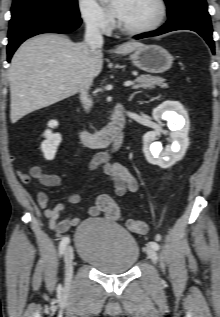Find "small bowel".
Returning a JSON list of instances; mask_svg holds the SVG:
<instances>
[{
	"mask_svg": "<svg viewBox=\"0 0 220 317\" xmlns=\"http://www.w3.org/2000/svg\"><path fill=\"white\" fill-rule=\"evenodd\" d=\"M99 166H103L104 172L109 177L113 184L114 193L117 196L124 195L127 191L135 192L138 190V182L136 178L122 165L111 162L107 153L96 155L88 165L90 171L96 170ZM19 179L22 183L27 184L31 180H35L43 186L53 187L61 182V176L58 174L44 173L39 167L34 166L30 169L29 173H20ZM36 198L39 206L44 209V214L48 219L50 227L60 233L68 231L80 223V218L75 215H70L62 218L64 206L58 204L55 207L48 206V197L45 192L37 191ZM78 193H72L67 197V202L76 204L80 201ZM110 198L107 194H100L96 198V202L88 210L89 215L99 216L104 213L103 201Z\"/></svg>",
	"mask_w": 220,
	"mask_h": 317,
	"instance_id": "c3829d8e",
	"label": "small bowel"
}]
</instances>
